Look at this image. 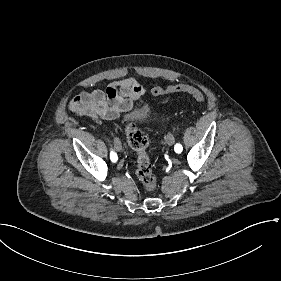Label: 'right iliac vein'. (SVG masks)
<instances>
[{"instance_id": "63e3f726", "label": "right iliac vein", "mask_w": 281, "mask_h": 281, "mask_svg": "<svg viewBox=\"0 0 281 281\" xmlns=\"http://www.w3.org/2000/svg\"><path fill=\"white\" fill-rule=\"evenodd\" d=\"M114 145H115V149L117 150V151H120L121 149H122V145H121V142H120V140L119 139H115V141H114Z\"/></svg>"}]
</instances>
